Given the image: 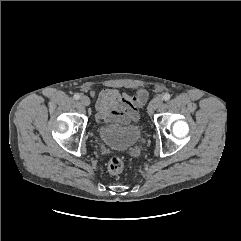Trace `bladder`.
<instances>
[{"label": "bladder", "mask_w": 241, "mask_h": 241, "mask_svg": "<svg viewBox=\"0 0 241 241\" xmlns=\"http://www.w3.org/2000/svg\"><path fill=\"white\" fill-rule=\"evenodd\" d=\"M142 135L141 127L137 124L126 127L100 126L99 136L108 147L115 150H128L135 146Z\"/></svg>", "instance_id": "bladder-1"}]
</instances>
